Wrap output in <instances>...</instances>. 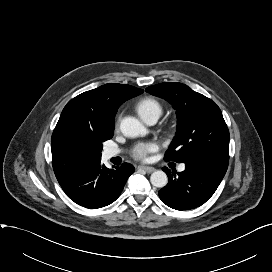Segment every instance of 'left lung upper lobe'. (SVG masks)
<instances>
[{
  "mask_svg": "<svg viewBox=\"0 0 272 272\" xmlns=\"http://www.w3.org/2000/svg\"><path fill=\"white\" fill-rule=\"evenodd\" d=\"M146 91L164 98L176 110L177 131L165 161L187 163L206 156L229 157V131L215 102L182 83H160Z\"/></svg>",
  "mask_w": 272,
  "mask_h": 272,
  "instance_id": "obj_1",
  "label": "left lung upper lobe"
}]
</instances>
